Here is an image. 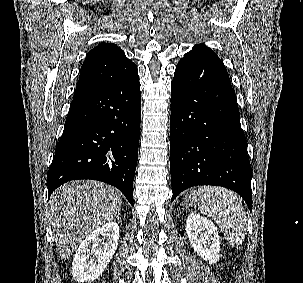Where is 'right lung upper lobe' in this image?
I'll list each match as a JSON object with an SVG mask.
<instances>
[{
    "instance_id": "cb5924a9",
    "label": "right lung upper lobe",
    "mask_w": 303,
    "mask_h": 283,
    "mask_svg": "<svg viewBox=\"0 0 303 283\" xmlns=\"http://www.w3.org/2000/svg\"><path fill=\"white\" fill-rule=\"evenodd\" d=\"M137 74L136 65L113 43H101L87 55L81 67L74 98L109 89Z\"/></svg>"
}]
</instances>
